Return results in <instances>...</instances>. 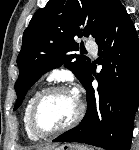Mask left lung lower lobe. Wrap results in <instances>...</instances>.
<instances>
[{
  "label": "left lung lower lobe",
  "instance_id": "left-lung-lower-lobe-1",
  "mask_svg": "<svg viewBox=\"0 0 139 150\" xmlns=\"http://www.w3.org/2000/svg\"><path fill=\"white\" fill-rule=\"evenodd\" d=\"M101 72L98 91L91 70L85 82L83 121L54 142H80L106 150H129L139 101V40L125 7L116 1L105 29L96 39Z\"/></svg>",
  "mask_w": 139,
  "mask_h": 150
}]
</instances>
